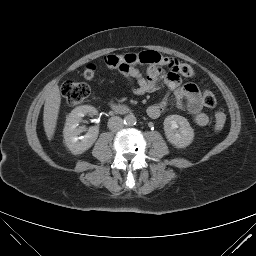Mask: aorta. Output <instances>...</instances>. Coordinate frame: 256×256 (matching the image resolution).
<instances>
[{
  "label": "aorta",
  "instance_id": "obj_1",
  "mask_svg": "<svg viewBox=\"0 0 256 256\" xmlns=\"http://www.w3.org/2000/svg\"><path fill=\"white\" fill-rule=\"evenodd\" d=\"M136 117L133 114H128L124 117V124L127 126H133L136 124Z\"/></svg>",
  "mask_w": 256,
  "mask_h": 256
}]
</instances>
